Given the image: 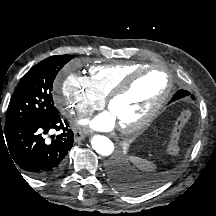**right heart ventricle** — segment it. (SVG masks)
<instances>
[{
	"label": "right heart ventricle",
	"instance_id": "1",
	"mask_svg": "<svg viewBox=\"0 0 216 216\" xmlns=\"http://www.w3.org/2000/svg\"><path fill=\"white\" fill-rule=\"evenodd\" d=\"M141 67L135 62L93 65L89 68V80L96 93L105 99L126 76Z\"/></svg>",
	"mask_w": 216,
	"mask_h": 216
}]
</instances>
